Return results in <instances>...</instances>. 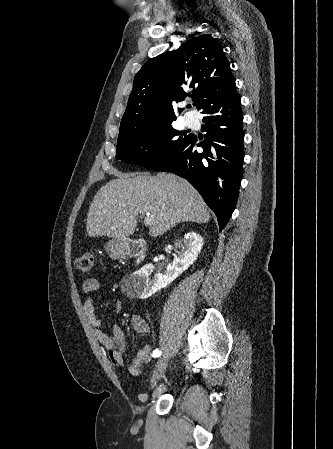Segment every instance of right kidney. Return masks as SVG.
Segmentation results:
<instances>
[{
  "mask_svg": "<svg viewBox=\"0 0 333 449\" xmlns=\"http://www.w3.org/2000/svg\"><path fill=\"white\" fill-rule=\"evenodd\" d=\"M202 246L203 238L201 235L193 231L188 232L185 234L183 242L176 243V247L181 248V250L177 251L172 265L168 267L165 274L156 273L150 278L155 268L151 263L138 270L135 273V281L139 298H148L172 283L195 262Z\"/></svg>",
  "mask_w": 333,
  "mask_h": 449,
  "instance_id": "ca27d5eb",
  "label": "right kidney"
}]
</instances>
